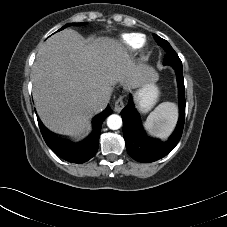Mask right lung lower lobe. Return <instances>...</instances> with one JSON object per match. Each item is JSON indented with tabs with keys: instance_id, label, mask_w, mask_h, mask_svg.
<instances>
[{
	"instance_id": "1",
	"label": "right lung lower lobe",
	"mask_w": 227,
	"mask_h": 227,
	"mask_svg": "<svg viewBox=\"0 0 227 227\" xmlns=\"http://www.w3.org/2000/svg\"><path fill=\"white\" fill-rule=\"evenodd\" d=\"M110 114H112V111L108 106L105 111L95 116L92 134L79 143H72L66 139L55 136L43 126L39 118L37 119L42 136L52 151L66 161L84 163L96 154L102 123Z\"/></svg>"
}]
</instances>
